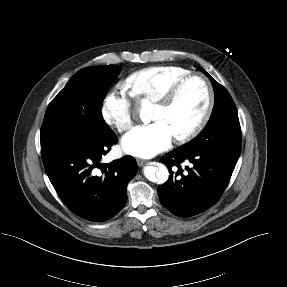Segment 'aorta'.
Segmentation results:
<instances>
[{"mask_svg":"<svg viewBox=\"0 0 287 287\" xmlns=\"http://www.w3.org/2000/svg\"><path fill=\"white\" fill-rule=\"evenodd\" d=\"M144 176L151 182L164 184L169 178V172L165 165L146 166L143 169Z\"/></svg>","mask_w":287,"mask_h":287,"instance_id":"aorta-1","label":"aorta"}]
</instances>
